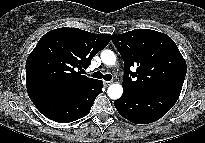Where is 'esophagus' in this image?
I'll return each instance as SVG.
<instances>
[{
  "label": "esophagus",
  "mask_w": 205,
  "mask_h": 143,
  "mask_svg": "<svg viewBox=\"0 0 205 143\" xmlns=\"http://www.w3.org/2000/svg\"><path fill=\"white\" fill-rule=\"evenodd\" d=\"M111 83H112L111 81H104V86L108 87L109 85H111Z\"/></svg>",
  "instance_id": "obj_1"
}]
</instances>
